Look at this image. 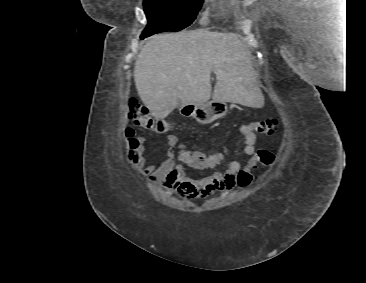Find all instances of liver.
Segmentation results:
<instances>
[{"mask_svg":"<svg viewBox=\"0 0 366 283\" xmlns=\"http://www.w3.org/2000/svg\"><path fill=\"white\" fill-rule=\"evenodd\" d=\"M134 81L156 119L167 117L179 103L203 104L211 95L248 107L264 105L249 47L233 33L199 29L154 35L136 59Z\"/></svg>","mask_w":366,"mask_h":283,"instance_id":"6515ba94","label":"liver"}]
</instances>
